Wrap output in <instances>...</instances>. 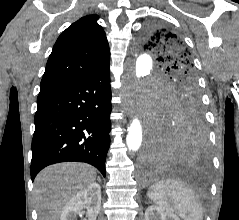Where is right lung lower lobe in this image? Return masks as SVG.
<instances>
[{"label":"right lung lower lobe","mask_w":239,"mask_h":220,"mask_svg":"<svg viewBox=\"0 0 239 220\" xmlns=\"http://www.w3.org/2000/svg\"><path fill=\"white\" fill-rule=\"evenodd\" d=\"M37 106L32 181L44 167L66 161L89 163L105 177L112 110L109 64L79 81L40 91Z\"/></svg>","instance_id":"obj_1"}]
</instances>
